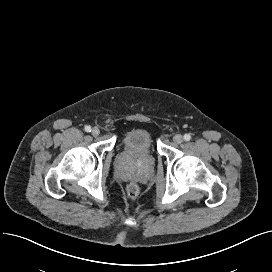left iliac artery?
Instances as JSON below:
<instances>
[{
    "label": "left iliac artery",
    "instance_id": "obj_1",
    "mask_svg": "<svg viewBox=\"0 0 272 272\" xmlns=\"http://www.w3.org/2000/svg\"><path fill=\"white\" fill-rule=\"evenodd\" d=\"M184 139H185L186 141H189V140L191 139V135H190V134H185V135H184Z\"/></svg>",
    "mask_w": 272,
    "mask_h": 272
}]
</instances>
